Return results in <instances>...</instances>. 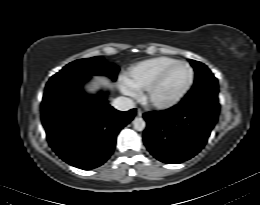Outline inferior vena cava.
<instances>
[{"label":"inferior vena cava","instance_id":"602c4592","mask_svg":"<svg viewBox=\"0 0 260 205\" xmlns=\"http://www.w3.org/2000/svg\"><path fill=\"white\" fill-rule=\"evenodd\" d=\"M112 106L117 110L127 111L134 108L135 105L132 99L121 96L113 100Z\"/></svg>","mask_w":260,"mask_h":205}]
</instances>
